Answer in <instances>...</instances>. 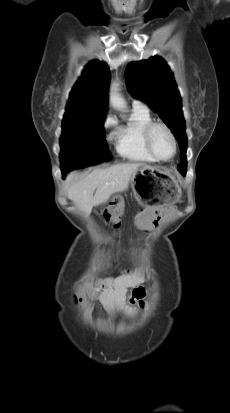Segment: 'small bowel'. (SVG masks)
I'll use <instances>...</instances> for the list:
<instances>
[{
	"mask_svg": "<svg viewBox=\"0 0 230 413\" xmlns=\"http://www.w3.org/2000/svg\"><path fill=\"white\" fill-rule=\"evenodd\" d=\"M177 212L178 207L175 205H155L149 209H138V218H135L134 224L135 227H145L147 231H156L164 218H170ZM143 281L141 271L125 272L118 277L98 282L90 287L87 293L91 298L100 299L112 317H131L144 306L146 291L142 285ZM128 288H132L130 305L125 303V292ZM77 300L82 301V297H78Z\"/></svg>",
	"mask_w": 230,
	"mask_h": 413,
	"instance_id": "obj_1",
	"label": "small bowel"
}]
</instances>
